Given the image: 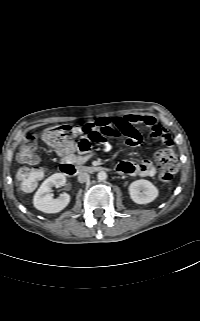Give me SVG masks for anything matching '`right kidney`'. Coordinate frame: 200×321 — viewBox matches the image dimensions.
Returning <instances> with one entry per match:
<instances>
[{
    "instance_id": "right-kidney-1",
    "label": "right kidney",
    "mask_w": 200,
    "mask_h": 321,
    "mask_svg": "<svg viewBox=\"0 0 200 321\" xmlns=\"http://www.w3.org/2000/svg\"><path fill=\"white\" fill-rule=\"evenodd\" d=\"M66 177L61 173H56L47 178L39 187L33 198L34 207L45 213H58L62 211L70 202V195L60 194L56 199L50 194L53 186L65 185Z\"/></svg>"
}]
</instances>
